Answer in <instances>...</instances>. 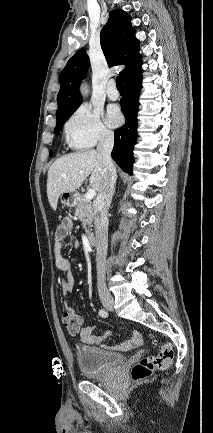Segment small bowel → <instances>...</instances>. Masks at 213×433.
Returning <instances> with one entry per match:
<instances>
[{
  "label": "small bowel",
  "instance_id": "1",
  "mask_svg": "<svg viewBox=\"0 0 213 433\" xmlns=\"http://www.w3.org/2000/svg\"><path fill=\"white\" fill-rule=\"evenodd\" d=\"M72 220L70 218H63L59 225L56 228L54 243H53V251L55 256V264L57 269L62 273L61 280V290L63 296V303L66 309L71 308V302L69 299V292L72 291L74 287V280L71 270V262L70 260L64 256V240L69 236L72 230ZM79 242L74 241V246H78ZM94 327L93 326H84L78 331L79 340L82 343H86L88 345L101 346L104 348L116 349L120 351H127L134 347L139 346L142 343V336L138 331H133L130 338L121 343L118 346H108L105 344L108 334L103 333L101 335H94Z\"/></svg>",
  "mask_w": 213,
  "mask_h": 433
}]
</instances>
